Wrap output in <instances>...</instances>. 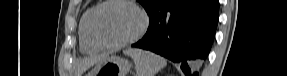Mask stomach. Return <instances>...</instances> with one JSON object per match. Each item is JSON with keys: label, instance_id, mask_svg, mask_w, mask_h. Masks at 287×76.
<instances>
[{"label": "stomach", "instance_id": "0dacf381", "mask_svg": "<svg viewBox=\"0 0 287 76\" xmlns=\"http://www.w3.org/2000/svg\"><path fill=\"white\" fill-rule=\"evenodd\" d=\"M130 63L120 57H107L100 61L87 76H126Z\"/></svg>", "mask_w": 287, "mask_h": 76}]
</instances>
